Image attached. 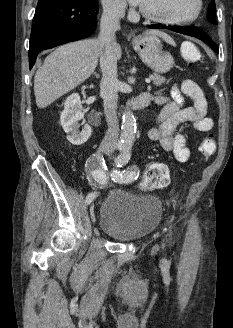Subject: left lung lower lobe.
Listing matches in <instances>:
<instances>
[{
  "label": "left lung lower lobe",
  "mask_w": 233,
  "mask_h": 328,
  "mask_svg": "<svg viewBox=\"0 0 233 328\" xmlns=\"http://www.w3.org/2000/svg\"><path fill=\"white\" fill-rule=\"evenodd\" d=\"M149 28H154V29H170L172 31L189 35L198 39L203 40L206 42L214 51L219 52L216 44L213 42V40L207 35L205 32L195 28V27H181V26H164V25H150Z\"/></svg>",
  "instance_id": "1"
}]
</instances>
